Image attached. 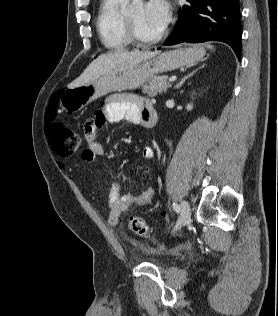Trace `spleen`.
<instances>
[{"mask_svg":"<svg viewBox=\"0 0 278 316\" xmlns=\"http://www.w3.org/2000/svg\"><path fill=\"white\" fill-rule=\"evenodd\" d=\"M207 47H208L209 49H214V47H213L212 45H207Z\"/></svg>","mask_w":278,"mask_h":316,"instance_id":"obj_1","label":"spleen"}]
</instances>
